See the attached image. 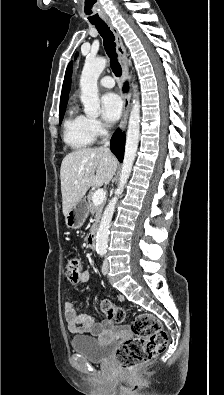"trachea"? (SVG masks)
<instances>
[{
	"label": "trachea",
	"instance_id": "trachea-1",
	"mask_svg": "<svg viewBox=\"0 0 224 395\" xmlns=\"http://www.w3.org/2000/svg\"><path fill=\"white\" fill-rule=\"evenodd\" d=\"M103 38L104 48L110 58V66L114 74L119 77L122 73L121 66L117 60L115 36L104 21L92 23Z\"/></svg>",
	"mask_w": 224,
	"mask_h": 395
}]
</instances>
